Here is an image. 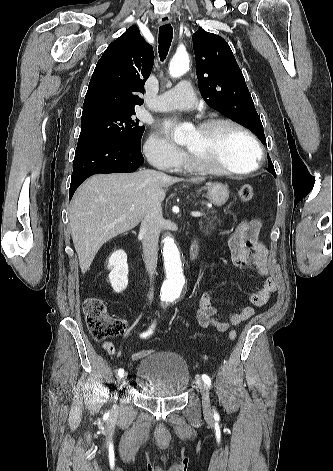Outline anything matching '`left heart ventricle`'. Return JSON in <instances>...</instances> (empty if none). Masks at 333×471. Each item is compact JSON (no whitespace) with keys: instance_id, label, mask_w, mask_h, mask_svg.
Instances as JSON below:
<instances>
[{"instance_id":"left-heart-ventricle-1","label":"left heart ventricle","mask_w":333,"mask_h":471,"mask_svg":"<svg viewBox=\"0 0 333 471\" xmlns=\"http://www.w3.org/2000/svg\"><path fill=\"white\" fill-rule=\"evenodd\" d=\"M185 145L193 153L234 170L253 167L257 157L248 137L227 125L217 126L208 132L195 129L188 134Z\"/></svg>"}]
</instances>
